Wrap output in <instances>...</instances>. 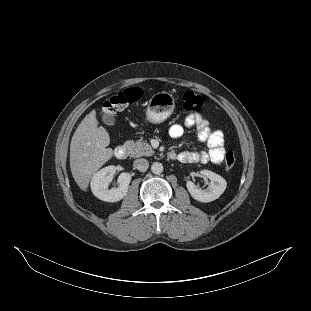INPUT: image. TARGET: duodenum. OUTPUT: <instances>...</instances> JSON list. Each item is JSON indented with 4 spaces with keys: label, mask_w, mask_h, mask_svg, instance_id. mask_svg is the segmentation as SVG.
I'll list each match as a JSON object with an SVG mask.
<instances>
[{
    "label": "duodenum",
    "mask_w": 311,
    "mask_h": 311,
    "mask_svg": "<svg viewBox=\"0 0 311 311\" xmlns=\"http://www.w3.org/2000/svg\"><path fill=\"white\" fill-rule=\"evenodd\" d=\"M114 155L117 159H125L127 156V148L123 145H119L114 150ZM168 157L170 159H175L176 155L174 152H170Z\"/></svg>",
    "instance_id": "1"
}]
</instances>
